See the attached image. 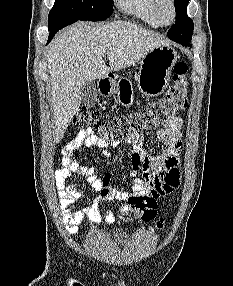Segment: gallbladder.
Masks as SVG:
<instances>
[{
  "label": "gallbladder",
  "mask_w": 233,
  "mask_h": 286,
  "mask_svg": "<svg viewBox=\"0 0 233 286\" xmlns=\"http://www.w3.org/2000/svg\"><path fill=\"white\" fill-rule=\"evenodd\" d=\"M82 103L86 106H93L97 101L96 82L94 80L86 81L81 88Z\"/></svg>",
  "instance_id": "gallbladder-1"
}]
</instances>
